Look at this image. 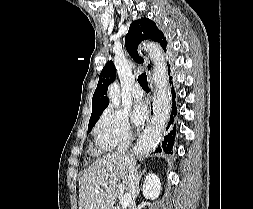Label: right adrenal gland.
Returning a JSON list of instances; mask_svg holds the SVG:
<instances>
[{"label": "right adrenal gland", "mask_w": 253, "mask_h": 209, "mask_svg": "<svg viewBox=\"0 0 253 209\" xmlns=\"http://www.w3.org/2000/svg\"><path fill=\"white\" fill-rule=\"evenodd\" d=\"M145 172H146L145 169H144L143 171H139L138 173H137V171H136V177H137V194H136V196H138L139 191H140V189H139V182H140V179H141L142 175L145 174Z\"/></svg>", "instance_id": "2a0ac1e0"}]
</instances>
